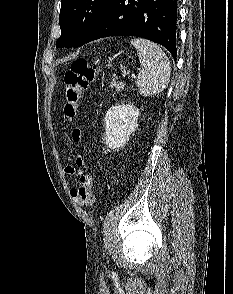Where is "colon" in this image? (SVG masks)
Returning a JSON list of instances; mask_svg holds the SVG:
<instances>
[{"instance_id":"colon-1","label":"colon","mask_w":233,"mask_h":294,"mask_svg":"<svg viewBox=\"0 0 233 294\" xmlns=\"http://www.w3.org/2000/svg\"><path fill=\"white\" fill-rule=\"evenodd\" d=\"M97 68L91 65L85 58L74 60L64 75L65 94L63 114L66 119H72L78 109L80 100L89 84L96 76ZM72 139L79 143L82 132L79 128L72 131ZM84 161L80 156L75 159V166L82 168ZM71 196L81 205L89 206L94 202L93 180L89 175L82 174L79 178V186L71 190Z\"/></svg>"}]
</instances>
